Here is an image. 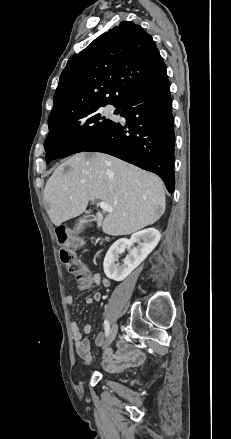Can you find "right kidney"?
<instances>
[{
    "label": "right kidney",
    "instance_id": "ca27d5eb",
    "mask_svg": "<svg viewBox=\"0 0 231 439\" xmlns=\"http://www.w3.org/2000/svg\"><path fill=\"white\" fill-rule=\"evenodd\" d=\"M161 234L155 228H147L134 233L130 239L117 240L108 250L104 258L103 267L105 275L115 281L124 280L145 258L154 250L160 241ZM134 243L137 247L132 248L129 254L119 265V254Z\"/></svg>",
    "mask_w": 231,
    "mask_h": 439
}]
</instances>
